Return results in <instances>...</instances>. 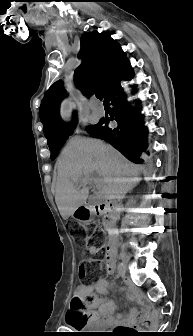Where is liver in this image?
I'll use <instances>...</instances> for the list:
<instances>
[{
    "label": "liver",
    "instance_id": "obj_1",
    "mask_svg": "<svg viewBox=\"0 0 193 336\" xmlns=\"http://www.w3.org/2000/svg\"><path fill=\"white\" fill-rule=\"evenodd\" d=\"M56 167L55 202L64 220L86 204L89 187L84 180L93 172L102 177L95 184L103 199L123 198L141 180L138 166L112 146L91 138L72 140L62 150Z\"/></svg>",
    "mask_w": 193,
    "mask_h": 336
}]
</instances>
